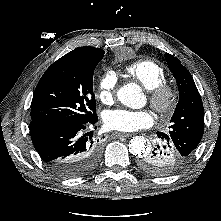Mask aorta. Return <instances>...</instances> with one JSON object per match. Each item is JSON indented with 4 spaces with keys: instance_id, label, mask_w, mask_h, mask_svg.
I'll list each match as a JSON object with an SVG mask.
<instances>
[{
    "instance_id": "aorta-1",
    "label": "aorta",
    "mask_w": 221,
    "mask_h": 221,
    "mask_svg": "<svg viewBox=\"0 0 221 221\" xmlns=\"http://www.w3.org/2000/svg\"><path fill=\"white\" fill-rule=\"evenodd\" d=\"M117 98L123 105L130 108H140L144 102L141 88L134 83L122 86L117 91ZM150 148V144L143 136H135L129 142V151L138 157L149 152Z\"/></svg>"
}]
</instances>
